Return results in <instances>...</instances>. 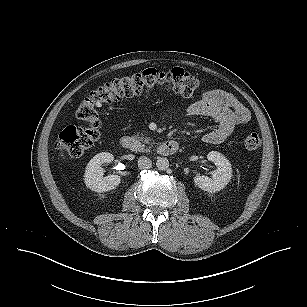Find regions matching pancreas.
<instances>
[{
	"label": "pancreas",
	"instance_id": "1",
	"mask_svg": "<svg viewBox=\"0 0 307 307\" xmlns=\"http://www.w3.org/2000/svg\"><path fill=\"white\" fill-rule=\"evenodd\" d=\"M136 139H137L138 141H141V142L145 143V144H150L149 147H147V148H145V149H142L143 151H146V152L149 151V149L152 148V147L154 146V144H155L154 141L150 143L151 139H150V138H147V137H143V134H141L140 136L137 135V136H136Z\"/></svg>",
	"mask_w": 307,
	"mask_h": 307
}]
</instances>
